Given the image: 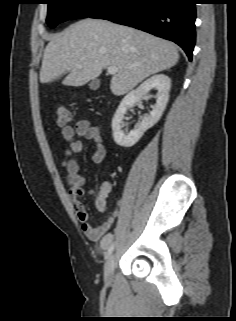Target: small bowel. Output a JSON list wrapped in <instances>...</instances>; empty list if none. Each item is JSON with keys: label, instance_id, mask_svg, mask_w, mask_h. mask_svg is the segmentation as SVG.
I'll use <instances>...</instances> for the list:
<instances>
[{"label": "small bowel", "instance_id": "1", "mask_svg": "<svg viewBox=\"0 0 236 321\" xmlns=\"http://www.w3.org/2000/svg\"><path fill=\"white\" fill-rule=\"evenodd\" d=\"M63 138L67 142L64 151L62 167L65 170L66 180L69 186V199L72 209L78 220L82 224L84 234L90 240H99L101 248L105 249L110 243V237L107 235L117 217L118 210L111 209L107 203L112 186L109 181H103L98 190L93 193L94 202L97 210L101 213H107L106 220L95 225L89 219L88 211L81 200L83 187L86 184V176L80 171L77 161L72 157L83 149V140L94 141L96 144L92 160L95 164H100L106 156V146L102 137V129L88 119H81L74 125H65L62 127Z\"/></svg>", "mask_w": 236, "mask_h": 321}]
</instances>
